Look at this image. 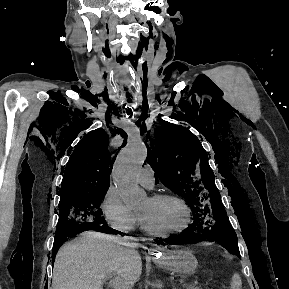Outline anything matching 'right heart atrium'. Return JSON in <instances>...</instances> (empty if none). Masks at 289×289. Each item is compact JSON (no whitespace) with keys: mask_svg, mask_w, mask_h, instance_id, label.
Listing matches in <instances>:
<instances>
[{"mask_svg":"<svg viewBox=\"0 0 289 289\" xmlns=\"http://www.w3.org/2000/svg\"><path fill=\"white\" fill-rule=\"evenodd\" d=\"M101 212L108 226L119 232H132L138 224V215L126 206L114 188L106 192Z\"/></svg>","mask_w":289,"mask_h":289,"instance_id":"d8ad5b80","label":"right heart atrium"}]
</instances>
